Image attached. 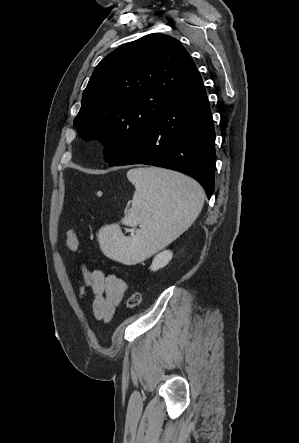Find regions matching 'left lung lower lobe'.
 <instances>
[{
    "instance_id": "1",
    "label": "left lung lower lobe",
    "mask_w": 299,
    "mask_h": 443,
    "mask_svg": "<svg viewBox=\"0 0 299 443\" xmlns=\"http://www.w3.org/2000/svg\"><path fill=\"white\" fill-rule=\"evenodd\" d=\"M215 158L211 110L197 71L114 166L146 164L182 172L196 179L210 199L215 184Z\"/></svg>"
}]
</instances>
